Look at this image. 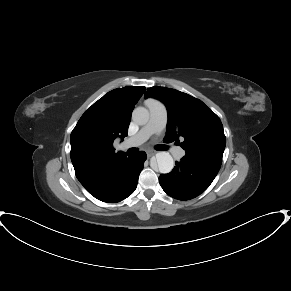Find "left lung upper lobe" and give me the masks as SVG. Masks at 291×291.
<instances>
[{
	"label": "left lung upper lobe",
	"mask_w": 291,
	"mask_h": 291,
	"mask_svg": "<svg viewBox=\"0 0 291 291\" xmlns=\"http://www.w3.org/2000/svg\"><path fill=\"white\" fill-rule=\"evenodd\" d=\"M145 97L162 101L168 111L165 142L184 139V157L221 166L226 138L219 117L202 101L165 87L147 89Z\"/></svg>",
	"instance_id": "left-lung-upper-lobe-1"
}]
</instances>
